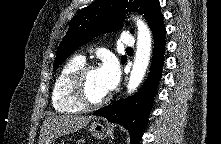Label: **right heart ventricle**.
Masks as SVG:
<instances>
[{
  "label": "right heart ventricle",
  "instance_id": "obj_1",
  "mask_svg": "<svg viewBox=\"0 0 221 144\" xmlns=\"http://www.w3.org/2000/svg\"><path fill=\"white\" fill-rule=\"evenodd\" d=\"M85 64L81 56H74L61 67L52 90V104L59 113L72 114L83 110L72 96L71 82L76 72Z\"/></svg>",
  "mask_w": 221,
  "mask_h": 144
}]
</instances>
